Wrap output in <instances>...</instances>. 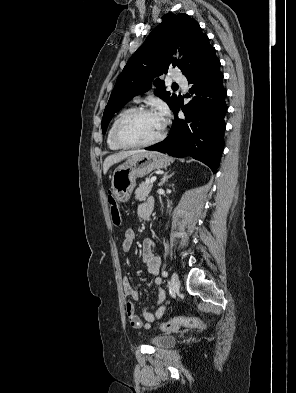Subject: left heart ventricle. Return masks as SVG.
I'll list each match as a JSON object with an SVG mask.
<instances>
[{"label":"left heart ventricle","instance_id":"b2bd125f","mask_svg":"<svg viewBox=\"0 0 296 393\" xmlns=\"http://www.w3.org/2000/svg\"><path fill=\"white\" fill-rule=\"evenodd\" d=\"M163 123L157 113L140 114L132 118L123 128V138L131 143H141L155 138Z\"/></svg>","mask_w":296,"mask_h":393}]
</instances>
